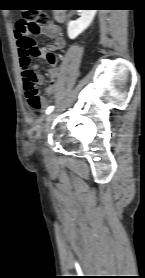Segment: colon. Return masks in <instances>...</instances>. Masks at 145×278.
Returning <instances> with one entry per match:
<instances>
[{"label":"colon","mask_w":145,"mask_h":278,"mask_svg":"<svg viewBox=\"0 0 145 278\" xmlns=\"http://www.w3.org/2000/svg\"><path fill=\"white\" fill-rule=\"evenodd\" d=\"M34 10L36 9H30V11H27L24 14V17L16 23V33H20L25 30L36 32L41 29L49 28V19L43 13H38V11ZM40 51V47L36 44L33 38H26L22 41L19 53H26L28 56H32L38 54ZM45 56L48 61L52 62L55 60V53L52 50L46 51ZM27 64L28 65L25 67L23 72L24 89L29 107L37 111L43 108L44 101L39 93L38 77L30 69V61H28Z\"/></svg>","instance_id":"1"}]
</instances>
